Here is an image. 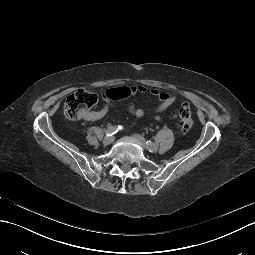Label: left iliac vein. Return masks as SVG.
<instances>
[{
    "label": "left iliac vein",
    "mask_w": 255,
    "mask_h": 255,
    "mask_svg": "<svg viewBox=\"0 0 255 255\" xmlns=\"http://www.w3.org/2000/svg\"><path fill=\"white\" fill-rule=\"evenodd\" d=\"M134 137L145 149H148L150 152H156L157 151V149H158L157 145L149 148L146 144V141H145L144 137H142L141 135L135 134Z\"/></svg>",
    "instance_id": "1"
}]
</instances>
